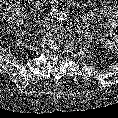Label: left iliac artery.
Instances as JSON below:
<instances>
[{"mask_svg": "<svg viewBox=\"0 0 118 118\" xmlns=\"http://www.w3.org/2000/svg\"><path fill=\"white\" fill-rule=\"evenodd\" d=\"M58 19L61 21L67 20V14L64 12L59 13Z\"/></svg>", "mask_w": 118, "mask_h": 118, "instance_id": "obj_1", "label": "left iliac artery"}]
</instances>
